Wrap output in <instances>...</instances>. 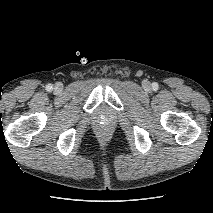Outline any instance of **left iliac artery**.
Returning <instances> with one entry per match:
<instances>
[{
  "mask_svg": "<svg viewBox=\"0 0 213 213\" xmlns=\"http://www.w3.org/2000/svg\"><path fill=\"white\" fill-rule=\"evenodd\" d=\"M152 87H153L154 90H157L158 89V84L157 83H153Z\"/></svg>",
  "mask_w": 213,
  "mask_h": 213,
  "instance_id": "44dca946",
  "label": "left iliac artery"
}]
</instances>
